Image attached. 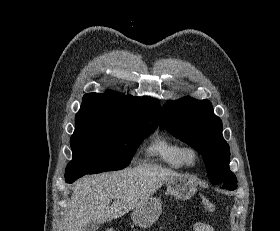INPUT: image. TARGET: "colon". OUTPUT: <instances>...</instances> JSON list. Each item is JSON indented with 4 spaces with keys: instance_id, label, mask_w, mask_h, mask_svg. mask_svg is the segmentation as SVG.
Masks as SVG:
<instances>
[{
    "instance_id": "1",
    "label": "colon",
    "mask_w": 280,
    "mask_h": 231,
    "mask_svg": "<svg viewBox=\"0 0 280 231\" xmlns=\"http://www.w3.org/2000/svg\"><path fill=\"white\" fill-rule=\"evenodd\" d=\"M202 205H203V208L207 211V212H214L215 209H216V206L215 204L208 198H203L202 200Z\"/></svg>"
}]
</instances>
